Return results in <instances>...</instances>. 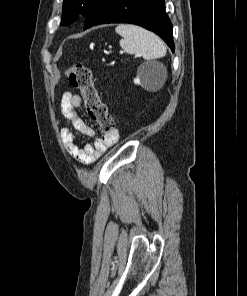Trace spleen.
<instances>
[{
  "label": "spleen",
  "mask_w": 247,
  "mask_h": 296,
  "mask_svg": "<svg viewBox=\"0 0 247 296\" xmlns=\"http://www.w3.org/2000/svg\"><path fill=\"white\" fill-rule=\"evenodd\" d=\"M122 36L121 48L129 54H138L145 60L164 57L166 46L154 33L142 27L130 24H120L115 29Z\"/></svg>",
  "instance_id": "1"
}]
</instances>
